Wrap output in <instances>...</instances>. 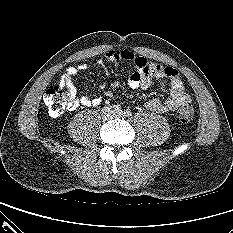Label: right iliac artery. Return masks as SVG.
Segmentation results:
<instances>
[{
    "mask_svg": "<svg viewBox=\"0 0 233 233\" xmlns=\"http://www.w3.org/2000/svg\"><path fill=\"white\" fill-rule=\"evenodd\" d=\"M113 109H114L115 112H120V111H121V107H120V105H118V104H117V105H114V106H113Z\"/></svg>",
    "mask_w": 233,
    "mask_h": 233,
    "instance_id": "obj_1",
    "label": "right iliac artery"
}]
</instances>
